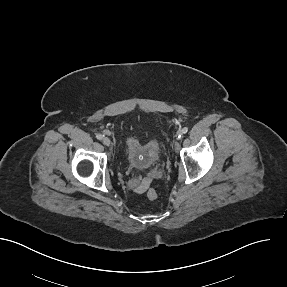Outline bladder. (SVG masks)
Wrapping results in <instances>:
<instances>
[{
    "label": "bladder",
    "instance_id": "obj_1",
    "mask_svg": "<svg viewBox=\"0 0 287 287\" xmlns=\"http://www.w3.org/2000/svg\"><path fill=\"white\" fill-rule=\"evenodd\" d=\"M160 157V144L155 139L141 141L137 136H129L125 141V160L129 167L147 170L153 167Z\"/></svg>",
    "mask_w": 287,
    "mask_h": 287
}]
</instances>
